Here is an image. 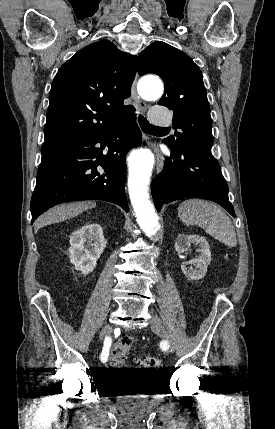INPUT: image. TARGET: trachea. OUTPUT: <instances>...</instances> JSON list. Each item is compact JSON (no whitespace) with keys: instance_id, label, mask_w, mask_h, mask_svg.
<instances>
[{"instance_id":"1","label":"trachea","mask_w":275,"mask_h":429,"mask_svg":"<svg viewBox=\"0 0 275 429\" xmlns=\"http://www.w3.org/2000/svg\"><path fill=\"white\" fill-rule=\"evenodd\" d=\"M138 120H139V125H140L141 129L143 130V132L148 133V134L169 130L168 128L156 127V126L150 124L148 122V120L142 115H139Z\"/></svg>"}]
</instances>
